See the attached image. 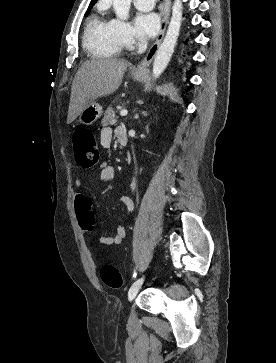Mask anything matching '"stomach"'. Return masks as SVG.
I'll list each match as a JSON object with an SVG mask.
<instances>
[{"mask_svg":"<svg viewBox=\"0 0 276 363\" xmlns=\"http://www.w3.org/2000/svg\"><path fill=\"white\" fill-rule=\"evenodd\" d=\"M132 76L136 81H142L144 79L143 74L133 73ZM102 113L101 105L96 102H91L79 114V121L84 125H92L101 117Z\"/></svg>","mask_w":276,"mask_h":363,"instance_id":"stomach-1","label":"stomach"}]
</instances>
